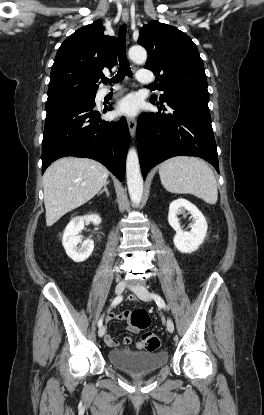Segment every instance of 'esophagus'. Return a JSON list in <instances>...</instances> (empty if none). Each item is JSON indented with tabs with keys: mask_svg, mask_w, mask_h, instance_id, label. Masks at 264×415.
Returning <instances> with one entry per match:
<instances>
[{
	"mask_svg": "<svg viewBox=\"0 0 264 415\" xmlns=\"http://www.w3.org/2000/svg\"><path fill=\"white\" fill-rule=\"evenodd\" d=\"M122 20L124 22H128V20H129V12L128 11H123L122 12ZM127 122H128L130 135H131L132 138H134L135 134H136V126H137L136 119L133 118V117H129Z\"/></svg>",
	"mask_w": 264,
	"mask_h": 415,
	"instance_id": "1",
	"label": "esophagus"
}]
</instances>
